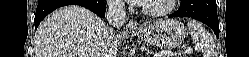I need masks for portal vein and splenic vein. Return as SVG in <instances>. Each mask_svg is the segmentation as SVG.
<instances>
[{"label":"portal vein and splenic vein","mask_w":249,"mask_h":57,"mask_svg":"<svg viewBox=\"0 0 249 57\" xmlns=\"http://www.w3.org/2000/svg\"><path fill=\"white\" fill-rule=\"evenodd\" d=\"M190 51H191V49H188L184 53L186 54V53H189ZM179 55L181 56V53H178V56ZM171 56H177V53L171 54ZM154 57H162V55L156 54V55H154Z\"/></svg>","instance_id":"1"}]
</instances>
